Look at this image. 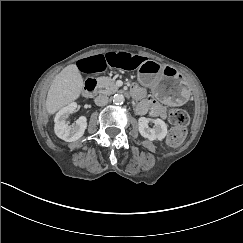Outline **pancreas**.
I'll return each instance as SVG.
<instances>
[{
	"mask_svg": "<svg viewBox=\"0 0 243 243\" xmlns=\"http://www.w3.org/2000/svg\"><path fill=\"white\" fill-rule=\"evenodd\" d=\"M97 83L99 87L104 88V90H101L104 94H112L118 91V86L110 77H99Z\"/></svg>",
	"mask_w": 243,
	"mask_h": 243,
	"instance_id": "1",
	"label": "pancreas"
}]
</instances>
